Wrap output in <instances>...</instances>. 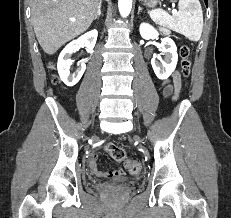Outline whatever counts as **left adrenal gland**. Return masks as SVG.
I'll use <instances>...</instances> for the list:
<instances>
[{"label":"left adrenal gland","instance_id":"a2214340","mask_svg":"<svg viewBox=\"0 0 231 218\" xmlns=\"http://www.w3.org/2000/svg\"><path fill=\"white\" fill-rule=\"evenodd\" d=\"M140 12H142V8H141V7L138 8V14H139Z\"/></svg>","mask_w":231,"mask_h":218}]
</instances>
